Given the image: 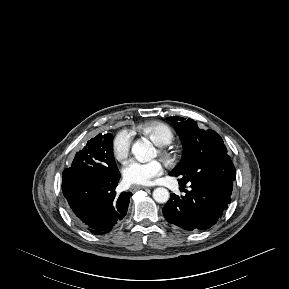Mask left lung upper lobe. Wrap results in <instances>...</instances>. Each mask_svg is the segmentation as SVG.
Returning <instances> with one entry per match:
<instances>
[{"label":"left lung upper lobe","instance_id":"obj_1","mask_svg":"<svg viewBox=\"0 0 289 289\" xmlns=\"http://www.w3.org/2000/svg\"><path fill=\"white\" fill-rule=\"evenodd\" d=\"M183 145L181 162L171 172L181 184L202 183L232 192L236 171L222 138L213 130L199 129L192 119L168 117Z\"/></svg>","mask_w":289,"mask_h":289}]
</instances>
